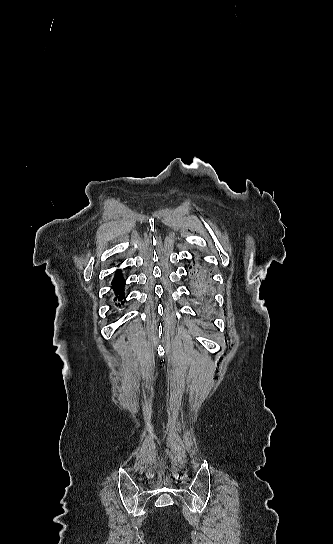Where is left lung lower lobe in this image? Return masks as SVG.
I'll return each mask as SVG.
<instances>
[{
	"mask_svg": "<svg viewBox=\"0 0 333 544\" xmlns=\"http://www.w3.org/2000/svg\"><path fill=\"white\" fill-rule=\"evenodd\" d=\"M191 279L195 297L202 304L203 313L207 317L212 303V285L209 272L200 265L194 266Z\"/></svg>",
	"mask_w": 333,
	"mask_h": 544,
	"instance_id": "left-lung-lower-lobe-1",
	"label": "left lung lower lobe"
}]
</instances>
